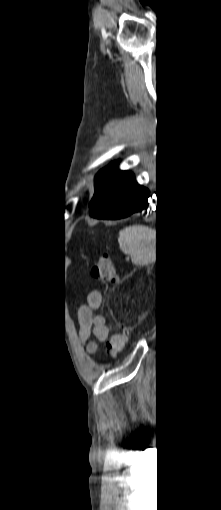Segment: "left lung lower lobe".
Wrapping results in <instances>:
<instances>
[{"label": "left lung lower lobe", "instance_id": "obj_1", "mask_svg": "<svg viewBox=\"0 0 221 510\" xmlns=\"http://www.w3.org/2000/svg\"><path fill=\"white\" fill-rule=\"evenodd\" d=\"M148 189L133 180L107 205L91 211V216L98 219L116 220L126 218L148 208Z\"/></svg>", "mask_w": 221, "mask_h": 510}]
</instances>
